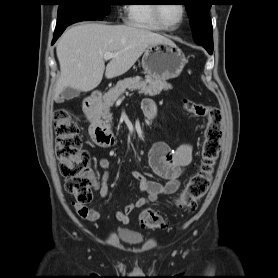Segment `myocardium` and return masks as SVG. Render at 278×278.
Returning a JSON list of instances; mask_svg holds the SVG:
<instances>
[{"instance_id": "f54148a6", "label": "myocardium", "mask_w": 278, "mask_h": 278, "mask_svg": "<svg viewBox=\"0 0 278 278\" xmlns=\"http://www.w3.org/2000/svg\"><path fill=\"white\" fill-rule=\"evenodd\" d=\"M181 8H182V15H181L180 21L175 26H169L168 24H166L163 21L161 15H160V5H158V4L153 5V17L161 28H163L165 30H169V31L176 30L184 22L185 17L187 15L186 5L181 4Z\"/></svg>"}]
</instances>
